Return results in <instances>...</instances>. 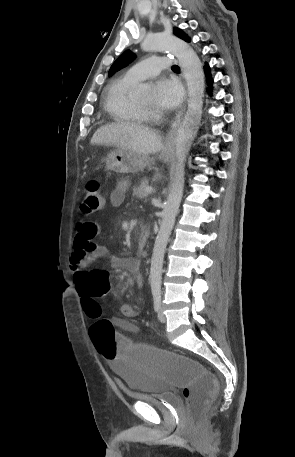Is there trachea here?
Returning a JSON list of instances; mask_svg holds the SVG:
<instances>
[{
  "label": "trachea",
  "instance_id": "obj_1",
  "mask_svg": "<svg viewBox=\"0 0 295 457\" xmlns=\"http://www.w3.org/2000/svg\"><path fill=\"white\" fill-rule=\"evenodd\" d=\"M172 69H173V70H178L179 67H178L177 65H173V66H172Z\"/></svg>",
  "mask_w": 295,
  "mask_h": 457
}]
</instances>
